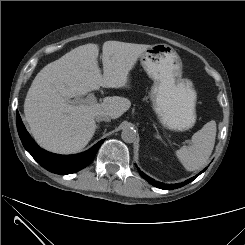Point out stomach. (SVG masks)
Listing matches in <instances>:
<instances>
[{"mask_svg":"<svg viewBox=\"0 0 245 245\" xmlns=\"http://www.w3.org/2000/svg\"><path fill=\"white\" fill-rule=\"evenodd\" d=\"M143 69L154 81L151 89L153 109L161 123L175 131L192 128L196 122V92L182 79V61L164 43L151 45L139 57Z\"/></svg>","mask_w":245,"mask_h":245,"instance_id":"obj_1","label":"stomach"}]
</instances>
